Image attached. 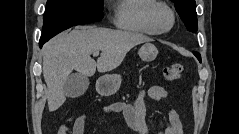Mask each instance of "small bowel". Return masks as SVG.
<instances>
[{"label":"small bowel","mask_w":239,"mask_h":134,"mask_svg":"<svg viewBox=\"0 0 239 134\" xmlns=\"http://www.w3.org/2000/svg\"><path fill=\"white\" fill-rule=\"evenodd\" d=\"M148 96L156 102H160L168 96L167 90L158 85L151 86L147 91H141L133 103L113 102L104 105L99 112L110 116L122 114L128 127L138 134H149L145 119L144 98ZM87 116L85 113L77 116L73 123L72 134H84ZM158 134H182V122L178 112L170 109L167 124L158 123Z\"/></svg>","instance_id":"small-bowel-1"}]
</instances>
